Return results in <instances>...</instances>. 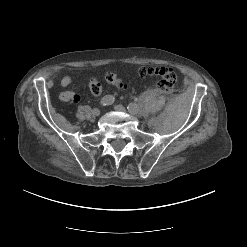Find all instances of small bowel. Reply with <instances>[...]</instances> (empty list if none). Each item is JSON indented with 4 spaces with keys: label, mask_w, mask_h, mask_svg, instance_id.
Masks as SVG:
<instances>
[{
    "label": "small bowel",
    "mask_w": 247,
    "mask_h": 247,
    "mask_svg": "<svg viewBox=\"0 0 247 247\" xmlns=\"http://www.w3.org/2000/svg\"><path fill=\"white\" fill-rule=\"evenodd\" d=\"M71 83V78L69 76H64L61 81L60 84L63 88H67ZM60 100L62 101H75L78 102L80 100L79 95L75 94L74 92L71 91H63L60 96H59Z\"/></svg>",
    "instance_id": "small-bowel-1"
}]
</instances>
